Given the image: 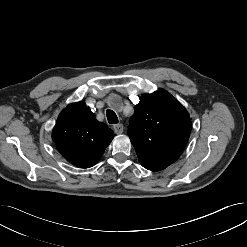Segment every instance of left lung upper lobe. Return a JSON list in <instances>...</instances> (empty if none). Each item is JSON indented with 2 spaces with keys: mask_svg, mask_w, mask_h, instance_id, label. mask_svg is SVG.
I'll list each match as a JSON object with an SVG mask.
<instances>
[{
  "mask_svg": "<svg viewBox=\"0 0 247 247\" xmlns=\"http://www.w3.org/2000/svg\"><path fill=\"white\" fill-rule=\"evenodd\" d=\"M186 109L163 89L145 94L130 118L128 135L141 164L159 171L175 162L190 136Z\"/></svg>",
  "mask_w": 247,
  "mask_h": 247,
  "instance_id": "5c2ea615",
  "label": "left lung upper lobe"
}]
</instances>
